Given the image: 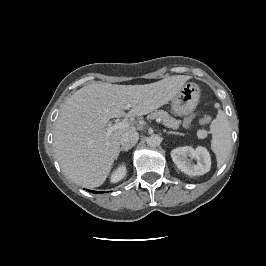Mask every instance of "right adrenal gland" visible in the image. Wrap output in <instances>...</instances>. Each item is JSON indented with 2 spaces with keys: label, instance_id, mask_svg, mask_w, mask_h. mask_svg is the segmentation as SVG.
Returning <instances> with one entry per match:
<instances>
[{
  "label": "right adrenal gland",
  "instance_id": "obj_1",
  "mask_svg": "<svg viewBox=\"0 0 266 266\" xmlns=\"http://www.w3.org/2000/svg\"><path fill=\"white\" fill-rule=\"evenodd\" d=\"M128 150H129V149H126V148H123V147H122V148L119 149V153H120L121 151H128Z\"/></svg>",
  "mask_w": 266,
  "mask_h": 266
}]
</instances>
